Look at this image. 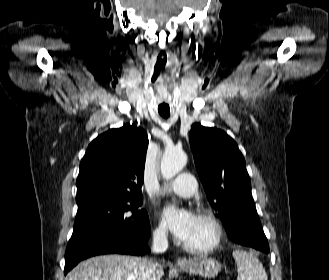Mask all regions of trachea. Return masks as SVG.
I'll return each instance as SVG.
<instances>
[{
	"label": "trachea",
	"instance_id": "1",
	"mask_svg": "<svg viewBox=\"0 0 329 280\" xmlns=\"http://www.w3.org/2000/svg\"><path fill=\"white\" fill-rule=\"evenodd\" d=\"M160 115L165 119H167L170 116V114H163V113H160Z\"/></svg>",
	"mask_w": 329,
	"mask_h": 280
}]
</instances>
